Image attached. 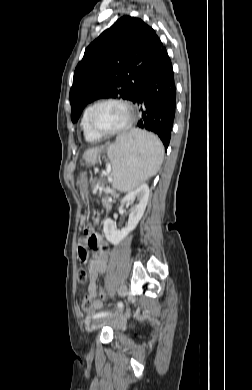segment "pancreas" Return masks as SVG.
Segmentation results:
<instances>
[{
  "instance_id": "pancreas-1",
  "label": "pancreas",
  "mask_w": 252,
  "mask_h": 390,
  "mask_svg": "<svg viewBox=\"0 0 252 390\" xmlns=\"http://www.w3.org/2000/svg\"><path fill=\"white\" fill-rule=\"evenodd\" d=\"M102 205L106 209H111V202H104L103 198H102Z\"/></svg>"
}]
</instances>
